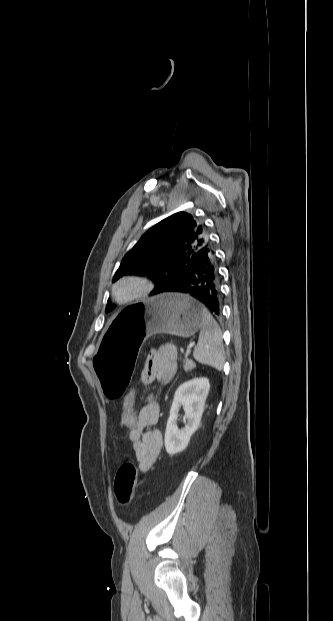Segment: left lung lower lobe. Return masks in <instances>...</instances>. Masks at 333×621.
I'll use <instances>...</instances> for the list:
<instances>
[{
	"instance_id": "0a47b994",
	"label": "left lung lower lobe",
	"mask_w": 333,
	"mask_h": 621,
	"mask_svg": "<svg viewBox=\"0 0 333 621\" xmlns=\"http://www.w3.org/2000/svg\"><path fill=\"white\" fill-rule=\"evenodd\" d=\"M187 293L203 303L213 314L220 315L219 276L212 245L199 249L187 263L185 270L160 293Z\"/></svg>"
}]
</instances>
